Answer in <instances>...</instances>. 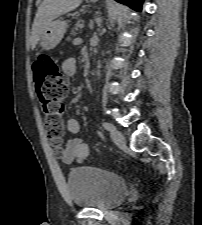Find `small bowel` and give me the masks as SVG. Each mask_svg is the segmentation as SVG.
Instances as JSON below:
<instances>
[{"label":"small bowel","instance_id":"obj_1","mask_svg":"<svg viewBox=\"0 0 202 225\" xmlns=\"http://www.w3.org/2000/svg\"><path fill=\"white\" fill-rule=\"evenodd\" d=\"M83 52H87L86 50ZM77 59L69 57L62 63V68L68 76H73L77 69ZM66 130L70 134L80 132V123L76 118H68L65 121ZM89 155V146L81 137H74L68 140L64 150L59 154L60 160L65 165L82 163Z\"/></svg>","mask_w":202,"mask_h":225}]
</instances>
